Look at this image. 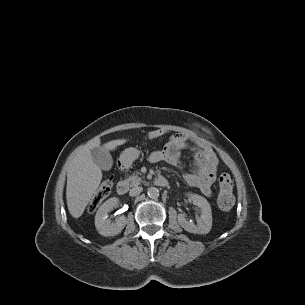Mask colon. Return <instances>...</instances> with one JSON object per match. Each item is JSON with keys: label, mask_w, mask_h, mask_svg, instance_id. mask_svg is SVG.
<instances>
[{"label": "colon", "mask_w": 305, "mask_h": 305, "mask_svg": "<svg viewBox=\"0 0 305 305\" xmlns=\"http://www.w3.org/2000/svg\"><path fill=\"white\" fill-rule=\"evenodd\" d=\"M166 133L165 129H155L148 134L150 139H156L163 136ZM113 186V179H105L99 188L94 193L90 203L88 205L89 211H95L98 206L109 196ZM219 194L217 198V205L223 212L230 211L235 203V199L232 193V179L229 174L222 173L218 179Z\"/></svg>", "instance_id": "1"}]
</instances>
